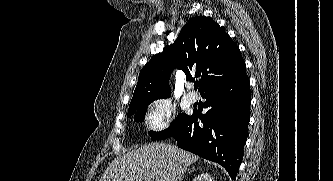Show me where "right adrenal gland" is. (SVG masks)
I'll use <instances>...</instances> for the list:
<instances>
[{
    "label": "right adrenal gland",
    "instance_id": "right-adrenal-gland-1",
    "mask_svg": "<svg viewBox=\"0 0 333 181\" xmlns=\"http://www.w3.org/2000/svg\"><path fill=\"white\" fill-rule=\"evenodd\" d=\"M195 170V168L193 167L192 169H188V172H190V171H194Z\"/></svg>",
    "mask_w": 333,
    "mask_h": 181
}]
</instances>
